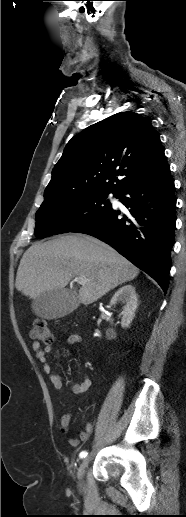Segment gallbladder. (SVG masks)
<instances>
[{
	"instance_id": "bac80fb5",
	"label": "gallbladder",
	"mask_w": 186,
	"mask_h": 517,
	"mask_svg": "<svg viewBox=\"0 0 186 517\" xmlns=\"http://www.w3.org/2000/svg\"><path fill=\"white\" fill-rule=\"evenodd\" d=\"M80 301L70 290H53L40 295L33 301L32 309L41 318L63 317L75 310Z\"/></svg>"
}]
</instances>
